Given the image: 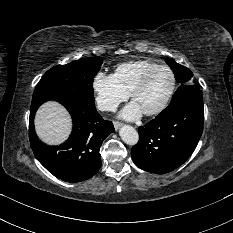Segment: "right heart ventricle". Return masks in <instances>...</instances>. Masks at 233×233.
Returning a JSON list of instances; mask_svg holds the SVG:
<instances>
[{"mask_svg":"<svg viewBox=\"0 0 233 233\" xmlns=\"http://www.w3.org/2000/svg\"><path fill=\"white\" fill-rule=\"evenodd\" d=\"M158 64L147 60H134L116 66L113 76L119 85L130 94L142 76Z\"/></svg>","mask_w":233,"mask_h":233,"instance_id":"right-heart-ventricle-1","label":"right heart ventricle"}]
</instances>
